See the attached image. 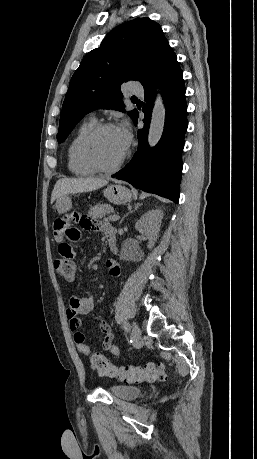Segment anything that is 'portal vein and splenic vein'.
<instances>
[{
    "instance_id": "obj_1",
    "label": "portal vein and splenic vein",
    "mask_w": 257,
    "mask_h": 459,
    "mask_svg": "<svg viewBox=\"0 0 257 459\" xmlns=\"http://www.w3.org/2000/svg\"><path fill=\"white\" fill-rule=\"evenodd\" d=\"M109 218H110L111 221H117V220H119L120 217L117 216V215H113V216H110Z\"/></svg>"
}]
</instances>
